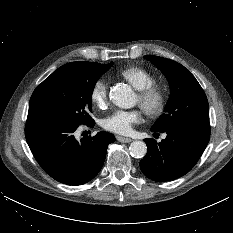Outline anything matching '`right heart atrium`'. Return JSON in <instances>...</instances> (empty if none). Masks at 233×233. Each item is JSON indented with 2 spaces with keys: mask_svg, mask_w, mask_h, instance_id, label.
Returning <instances> with one entry per match:
<instances>
[{
  "mask_svg": "<svg viewBox=\"0 0 233 233\" xmlns=\"http://www.w3.org/2000/svg\"><path fill=\"white\" fill-rule=\"evenodd\" d=\"M90 99L95 106L104 108L109 99V82L103 78L97 79L92 85Z\"/></svg>",
  "mask_w": 233,
  "mask_h": 233,
  "instance_id": "obj_1",
  "label": "right heart atrium"
}]
</instances>
